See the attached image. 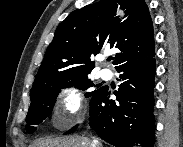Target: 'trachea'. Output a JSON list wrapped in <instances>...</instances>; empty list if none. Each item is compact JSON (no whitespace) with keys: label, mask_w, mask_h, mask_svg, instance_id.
I'll list each match as a JSON object with an SVG mask.
<instances>
[{"label":"trachea","mask_w":183,"mask_h":147,"mask_svg":"<svg viewBox=\"0 0 183 147\" xmlns=\"http://www.w3.org/2000/svg\"><path fill=\"white\" fill-rule=\"evenodd\" d=\"M111 60H113V58H112V57H109V58L107 59V61H111Z\"/></svg>","instance_id":"1"}]
</instances>
